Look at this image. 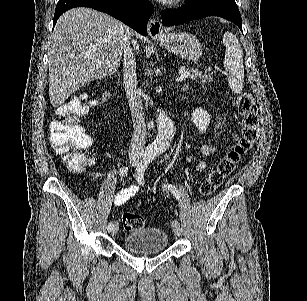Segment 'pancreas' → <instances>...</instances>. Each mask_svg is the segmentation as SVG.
Returning a JSON list of instances; mask_svg holds the SVG:
<instances>
[{"label":"pancreas","mask_w":307,"mask_h":301,"mask_svg":"<svg viewBox=\"0 0 307 301\" xmlns=\"http://www.w3.org/2000/svg\"><path fill=\"white\" fill-rule=\"evenodd\" d=\"M213 72H208V70H192L190 76L186 78H192V80H199V84H205V82H211Z\"/></svg>","instance_id":"pancreas-1"}]
</instances>
